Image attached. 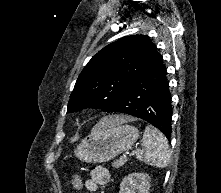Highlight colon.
<instances>
[{
	"instance_id": "1",
	"label": "colon",
	"mask_w": 221,
	"mask_h": 193,
	"mask_svg": "<svg viewBox=\"0 0 221 193\" xmlns=\"http://www.w3.org/2000/svg\"><path fill=\"white\" fill-rule=\"evenodd\" d=\"M72 187L75 191H80L82 188V179L80 177V175H75L73 183H72Z\"/></svg>"
}]
</instances>
